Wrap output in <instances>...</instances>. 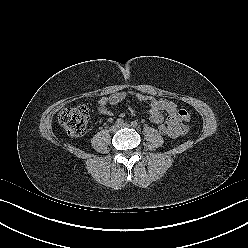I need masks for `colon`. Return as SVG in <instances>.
<instances>
[{"mask_svg":"<svg viewBox=\"0 0 248 248\" xmlns=\"http://www.w3.org/2000/svg\"><path fill=\"white\" fill-rule=\"evenodd\" d=\"M89 120V110L84 105L63 109L58 116L60 126L71 137H80L86 131ZM159 131L165 136H171V130L166 124L159 125Z\"/></svg>","mask_w":248,"mask_h":248,"instance_id":"obj_1","label":"colon"}]
</instances>
